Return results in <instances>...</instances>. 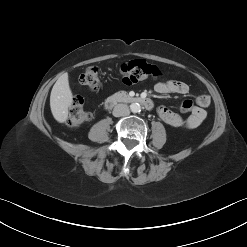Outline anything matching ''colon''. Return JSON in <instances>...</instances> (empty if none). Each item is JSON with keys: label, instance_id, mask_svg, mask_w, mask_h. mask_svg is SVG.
<instances>
[{"label": "colon", "instance_id": "1", "mask_svg": "<svg viewBox=\"0 0 247 247\" xmlns=\"http://www.w3.org/2000/svg\"><path fill=\"white\" fill-rule=\"evenodd\" d=\"M120 73L124 84L131 85L148 78H159L160 70L145 60H130L120 67ZM80 83L90 90H96L100 85V73L96 66L88 67L80 76ZM193 108L191 100H185L180 106L182 113H187ZM91 120V114L83 107V99L79 96L73 98L67 124L71 127H79Z\"/></svg>", "mask_w": 247, "mask_h": 247}]
</instances>
